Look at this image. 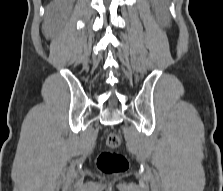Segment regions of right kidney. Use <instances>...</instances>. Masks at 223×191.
<instances>
[{
    "label": "right kidney",
    "instance_id": "1",
    "mask_svg": "<svg viewBox=\"0 0 223 191\" xmlns=\"http://www.w3.org/2000/svg\"><path fill=\"white\" fill-rule=\"evenodd\" d=\"M71 2L72 1H67V0H55L49 5L46 11V18L43 27L46 35L48 36L52 35L56 23L57 12L66 7L67 5H71Z\"/></svg>",
    "mask_w": 223,
    "mask_h": 191
}]
</instances>
